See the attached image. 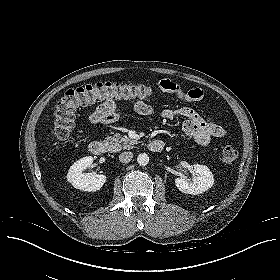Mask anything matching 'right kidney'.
Instances as JSON below:
<instances>
[{"instance_id": "ca27d5eb", "label": "right kidney", "mask_w": 280, "mask_h": 280, "mask_svg": "<svg viewBox=\"0 0 280 280\" xmlns=\"http://www.w3.org/2000/svg\"><path fill=\"white\" fill-rule=\"evenodd\" d=\"M93 163L92 156H86L74 162L70 167L67 180L76 189L83 191H97L106 182L102 174L84 173L83 171Z\"/></svg>"}]
</instances>
